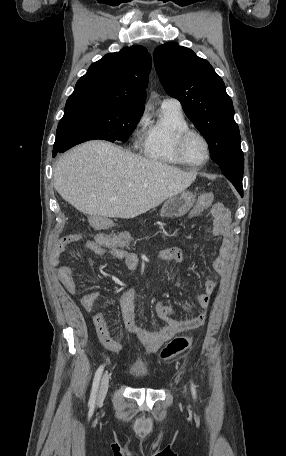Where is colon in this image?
Returning a JSON list of instances; mask_svg holds the SVG:
<instances>
[{"instance_id": "5ec220e1", "label": "colon", "mask_w": 286, "mask_h": 456, "mask_svg": "<svg viewBox=\"0 0 286 456\" xmlns=\"http://www.w3.org/2000/svg\"><path fill=\"white\" fill-rule=\"evenodd\" d=\"M213 202V195L211 193H204L199 198V205L201 206H208ZM71 238L76 240L79 238L77 234H72ZM103 241L106 243H111L112 238L110 236H106L103 238ZM190 340L186 337H178L173 339L161 352V357L168 359L172 358L184 351H186L190 347Z\"/></svg>"}]
</instances>
